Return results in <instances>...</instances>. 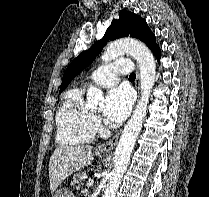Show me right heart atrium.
<instances>
[{
    "label": "right heart atrium",
    "instance_id": "1",
    "mask_svg": "<svg viewBox=\"0 0 209 197\" xmlns=\"http://www.w3.org/2000/svg\"><path fill=\"white\" fill-rule=\"evenodd\" d=\"M92 122H93V126L96 130L100 129L101 127V122H100V118L96 115L92 116Z\"/></svg>",
    "mask_w": 209,
    "mask_h": 197
}]
</instances>
